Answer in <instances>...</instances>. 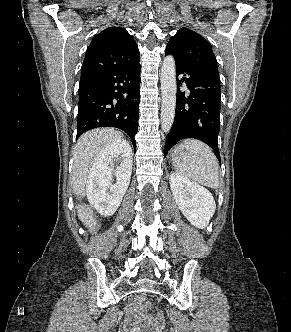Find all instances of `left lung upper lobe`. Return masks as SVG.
Segmentation results:
<instances>
[{
  "instance_id": "left-lung-upper-lobe-1",
  "label": "left lung upper lobe",
  "mask_w": 291,
  "mask_h": 332,
  "mask_svg": "<svg viewBox=\"0 0 291 332\" xmlns=\"http://www.w3.org/2000/svg\"><path fill=\"white\" fill-rule=\"evenodd\" d=\"M179 61L196 66L212 64L217 67V60L211 44L201 35L188 28H181L170 38L166 47Z\"/></svg>"
}]
</instances>
